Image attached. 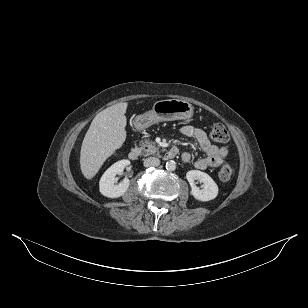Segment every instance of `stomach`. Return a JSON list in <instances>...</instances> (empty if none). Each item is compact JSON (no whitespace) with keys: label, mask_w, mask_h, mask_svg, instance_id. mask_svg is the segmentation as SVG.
<instances>
[{"label":"stomach","mask_w":308,"mask_h":308,"mask_svg":"<svg viewBox=\"0 0 308 308\" xmlns=\"http://www.w3.org/2000/svg\"><path fill=\"white\" fill-rule=\"evenodd\" d=\"M193 106L181 99H165L156 101L150 111L140 114L135 119L138 129L148 128L163 121L188 119L193 116Z\"/></svg>","instance_id":"obj_1"}]
</instances>
